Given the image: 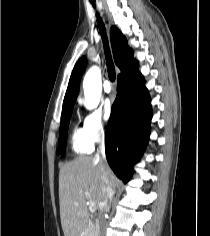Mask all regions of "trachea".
<instances>
[{
	"instance_id": "1",
	"label": "trachea",
	"mask_w": 210,
	"mask_h": 236,
	"mask_svg": "<svg viewBox=\"0 0 210 236\" xmlns=\"http://www.w3.org/2000/svg\"><path fill=\"white\" fill-rule=\"evenodd\" d=\"M92 5L95 8L94 1H92ZM96 15H97V21H98V25L100 28V32H101L103 44H104L108 76H109L110 81L114 82L115 78H116L115 67H114V63L112 61V57H111L110 50H109L108 39H107V35L105 32V27H104V24L102 22V19L99 16V14L96 13Z\"/></svg>"
}]
</instances>
